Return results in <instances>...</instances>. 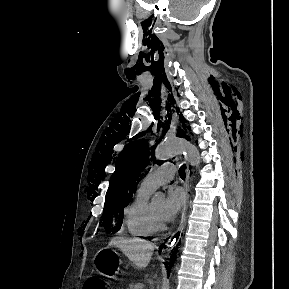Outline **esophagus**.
<instances>
[{
    "label": "esophagus",
    "mask_w": 289,
    "mask_h": 289,
    "mask_svg": "<svg viewBox=\"0 0 289 289\" xmlns=\"http://www.w3.org/2000/svg\"><path fill=\"white\" fill-rule=\"evenodd\" d=\"M186 164V178H185V182H184V190H185V202L184 205L182 207V211H181V218H180V222H179V226L177 228V230L171 235V237L169 238V240L167 241L166 245H174L176 244L180 238L181 235L183 233L184 227H185V223H186V212H187V206H188V199H189V183H190V167L188 162L185 161Z\"/></svg>",
    "instance_id": "obj_1"
}]
</instances>
